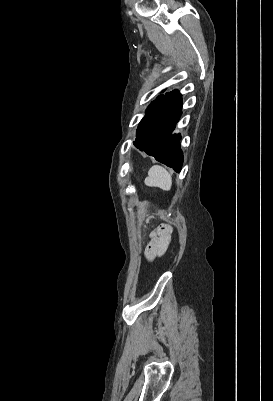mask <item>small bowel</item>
Wrapping results in <instances>:
<instances>
[{
  "instance_id": "c3829d8e",
  "label": "small bowel",
  "mask_w": 273,
  "mask_h": 401,
  "mask_svg": "<svg viewBox=\"0 0 273 401\" xmlns=\"http://www.w3.org/2000/svg\"><path fill=\"white\" fill-rule=\"evenodd\" d=\"M160 228L157 232H159ZM168 241H155L154 234L151 237V241L149 242L145 255L148 259H153L154 257L163 253L167 247Z\"/></svg>"
}]
</instances>
